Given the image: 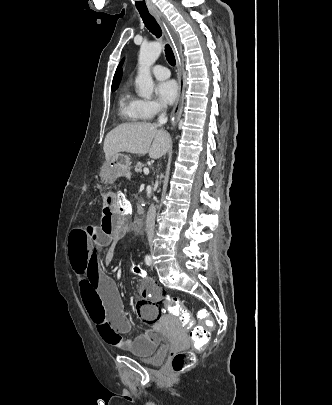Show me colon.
<instances>
[{
  "label": "colon",
  "mask_w": 332,
  "mask_h": 405,
  "mask_svg": "<svg viewBox=\"0 0 332 405\" xmlns=\"http://www.w3.org/2000/svg\"><path fill=\"white\" fill-rule=\"evenodd\" d=\"M118 196V203L116 204V212L120 214L121 218H127L132 215V206L124 193L116 192ZM132 271L137 273L139 278H145L146 272L140 266L139 262L132 263ZM163 306L166 310L177 316L186 328H193L195 321L191 319V314L187 307H185L179 298L173 295H166L162 299ZM198 323L201 324L193 328L191 331V340L197 347L204 346L208 339L213 327V316L207 315L205 310L198 312ZM194 362V356L189 351H178L172 353L171 365L175 372H180L190 367Z\"/></svg>",
  "instance_id": "obj_1"
}]
</instances>
